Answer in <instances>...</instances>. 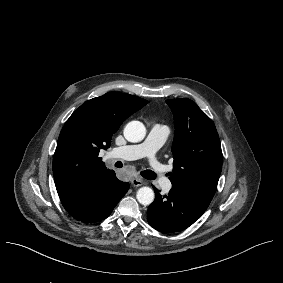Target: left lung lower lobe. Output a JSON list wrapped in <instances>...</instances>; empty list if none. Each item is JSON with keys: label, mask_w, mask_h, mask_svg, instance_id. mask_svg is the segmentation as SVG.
Listing matches in <instances>:
<instances>
[{"label": "left lung lower lobe", "mask_w": 283, "mask_h": 283, "mask_svg": "<svg viewBox=\"0 0 283 283\" xmlns=\"http://www.w3.org/2000/svg\"><path fill=\"white\" fill-rule=\"evenodd\" d=\"M155 200L148 208V223L164 233L180 232L205 212L209 203L173 185L168 195H160L155 187Z\"/></svg>", "instance_id": "left-lung-lower-lobe-1"}]
</instances>
